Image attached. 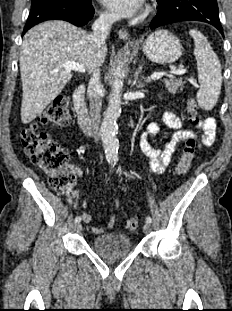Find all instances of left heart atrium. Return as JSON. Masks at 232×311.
<instances>
[{
	"instance_id": "39dd6f15",
	"label": "left heart atrium",
	"mask_w": 232,
	"mask_h": 311,
	"mask_svg": "<svg viewBox=\"0 0 232 311\" xmlns=\"http://www.w3.org/2000/svg\"><path fill=\"white\" fill-rule=\"evenodd\" d=\"M108 8L125 17L138 14L143 7V0H101Z\"/></svg>"
}]
</instances>
